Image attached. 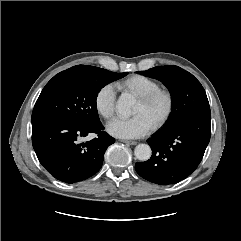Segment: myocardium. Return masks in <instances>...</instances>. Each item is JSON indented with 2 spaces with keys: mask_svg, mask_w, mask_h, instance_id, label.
Listing matches in <instances>:
<instances>
[{
  "mask_svg": "<svg viewBox=\"0 0 241 241\" xmlns=\"http://www.w3.org/2000/svg\"><path fill=\"white\" fill-rule=\"evenodd\" d=\"M158 100L164 101V110L152 125L154 130L163 127L170 119L174 110V96L168 89L158 88L146 95L138 97V101L144 106H150Z\"/></svg>",
  "mask_w": 241,
  "mask_h": 241,
  "instance_id": "myocardium-1",
  "label": "myocardium"
}]
</instances>
